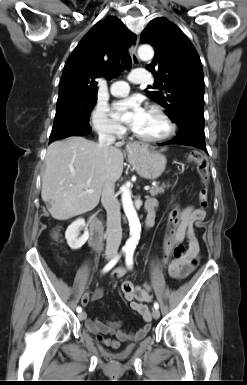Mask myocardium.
Listing matches in <instances>:
<instances>
[{
  "label": "myocardium",
  "instance_id": "obj_1",
  "mask_svg": "<svg viewBox=\"0 0 247 385\" xmlns=\"http://www.w3.org/2000/svg\"><path fill=\"white\" fill-rule=\"evenodd\" d=\"M148 110L157 113L166 123L167 131L165 134L158 137H145L139 135L134 130L132 131L133 136L143 142L147 143H159L166 140H169L176 132V124L172 120V118L168 115V113L159 105H150L148 106Z\"/></svg>",
  "mask_w": 247,
  "mask_h": 385
}]
</instances>
